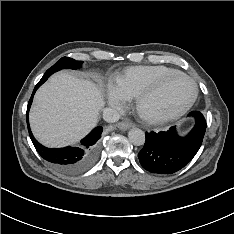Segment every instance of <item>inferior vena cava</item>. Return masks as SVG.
<instances>
[{"mask_svg":"<svg viewBox=\"0 0 234 234\" xmlns=\"http://www.w3.org/2000/svg\"><path fill=\"white\" fill-rule=\"evenodd\" d=\"M103 119L110 123L117 122L120 119V114L116 109L105 108L103 110Z\"/></svg>","mask_w":234,"mask_h":234,"instance_id":"obj_1","label":"inferior vena cava"}]
</instances>
